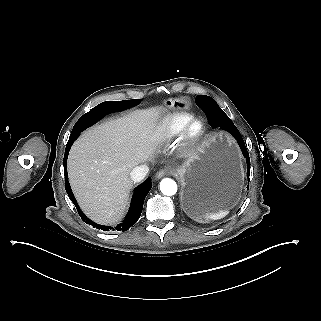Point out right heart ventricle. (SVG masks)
Instances as JSON below:
<instances>
[{
    "label": "right heart ventricle",
    "mask_w": 321,
    "mask_h": 321,
    "mask_svg": "<svg viewBox=\"0 0 321 321\" xmlns=\"http://www.w3.org/2000/svg\"><path fill=\"white\" fill-rule=\"evenodd\" d=\"M193 117L187 110H172L158 118L148 131V142L152 146H159L176 135L182 125Z\"/></svg>",
    "instance_id": "right-heart-ventricle-1"
}]
</instances>
